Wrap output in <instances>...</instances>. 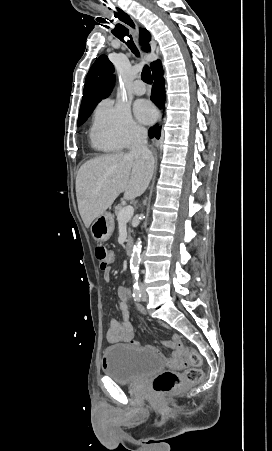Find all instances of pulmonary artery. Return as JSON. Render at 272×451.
I'll return each mask as SVG.
<instances>
[{
	"mask_svg": "<svg viewBox=\"0 0 272 451\" xmlns=\"http://www.w3.org/2000/svg\"><path fill=\"white\" fill-rule=\"evenodd\" d=\"M135 86H136V88L132 89V93L137 96L143 95L144 94V91H143L144 81L142 79H137L135 81Z\"/></svg>",
	"mask_w": 272,
	"mask_h": 451,
	"instance_id": "1",
	"label": "pulmonary artery"
}]
</instances>
